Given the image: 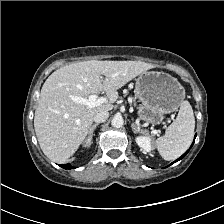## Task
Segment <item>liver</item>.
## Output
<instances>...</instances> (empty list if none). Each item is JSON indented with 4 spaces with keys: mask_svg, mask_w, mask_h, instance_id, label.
I'll return each mask as SVG.
<instances>
[{
    "mask_svg": "<svg viewBox=\"0 0 224 224\" xmlns=\"http://www.w3.org/2000/svg\"><path fill=\"white\" fill-rule=\"evenodd\" d=\"M155 66L141 61H81L54 71L42 86L34 127L43 153L64 163L85 140L95 115L110 111L117 90ZM101 75L105 78L101 79ZM105 92L107 100L96 107L77 103L71 96L88 98Z\"/></svg>",
    "mask_w": 224,
    "mask_h": 224,
    "instance_id": "liver-1",
    "label": "liver"
}]
</instances>
